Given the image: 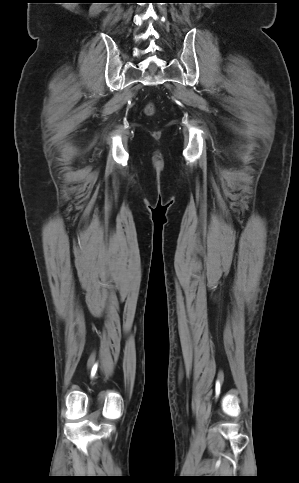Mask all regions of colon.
Returning <instances> with one entry per match:
<instances>
[{"mask_svg":"<svg viewBox=\"0 0 299 483\" xmlns=\"http://www.w3.org/2000/svg\"><path fill=\"white\" fill-rule=\"evenodd\" d=\"M146 112L151 114L154 112V106L152 104H149L146 108Z\"/></svg>","mask_w":299,"mask_h":483,"instance_id":"colon-1","label":"colon"}]
</instances>
